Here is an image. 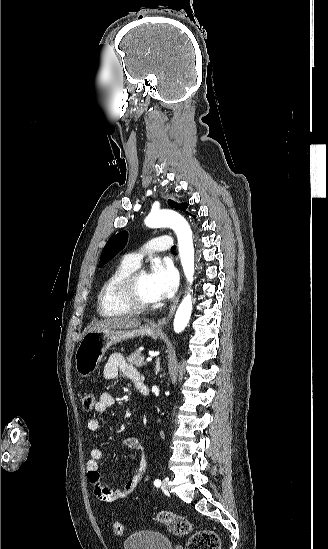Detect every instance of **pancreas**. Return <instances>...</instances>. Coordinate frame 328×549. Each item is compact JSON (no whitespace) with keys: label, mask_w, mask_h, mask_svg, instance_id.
I'll return each instance as SVG.
<instances>
[{"label":"pancreas","mask_w":328,"mask_h":549,"mask_svg":"<svg viewBox=\"0 0 328 549\" xmlns=\"http://www.w3.org/2000/svg\"><path fill=\"white\" fill-rule=\"evenodd\" d=\"M128 363H131V365H134V367H144L146 363H144V357L141 355V351H134V353H131L129 357H127Z\"/></svg>","instance_id":"pancreas-1"}]
</instances>
